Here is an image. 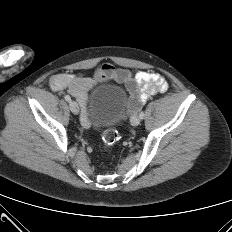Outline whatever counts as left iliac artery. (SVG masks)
Instances as JSON below:
<instances>
[{
    "instance_id": "44dca946",
    "label": "left iliac artery",
    "mask_w": 232,
    "mask_h": 232,
    "mask_svg": "<svg viewBox=\"0 0 232 232\" xmlns=\"http://www.w3.org/2000/svg\"><path fill=\"white\" fill-rule=\"evenodd\" d=\"M144 116H145L144 112L143 111L140 112V114H139L140 119H144Z\"/></svg>"
}]
</instances>
